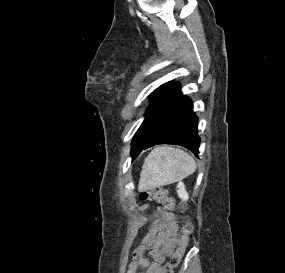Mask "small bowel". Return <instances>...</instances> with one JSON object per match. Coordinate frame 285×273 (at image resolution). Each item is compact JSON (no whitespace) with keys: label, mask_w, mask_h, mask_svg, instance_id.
<instances>
[{"label":"small bowel","mask_w":285,"mask_h":273,"mask_svg":"<svg viewBox=\"0 0 285 273\" xmlns=\"http://www.w3.org/2000/svg\"><path fill=\"white\" fill-rule=\"evenodd\" d=\"M157 215V219L152 222L134 251L127 273H140V268H146V273H160L166 256L179 242L178 225L174 215L161 208L157 210ZM146 251H149L152 262L145 257Z\"/></svg>","instance_id":"1"}]
</instances>
